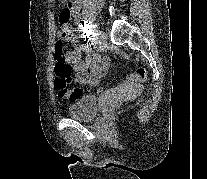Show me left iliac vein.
<instances>
[{
	"instance_id": "obj_1",
	"label": "left iliac vein",
	"mask_w": 207,
	"mask_h": 179,
	"mask_svg": "<svg viewBox=\"0 0 207 179\" xmlns=\"http://www.w3.org/2000/svg\"><path fill=\"white\" fill-rule=\"evenodd\" d=\"M107 42V35L104 31L98 30L97 31V38H96V43L99 46H103Z\"/></svg>"
}]
</instances>
